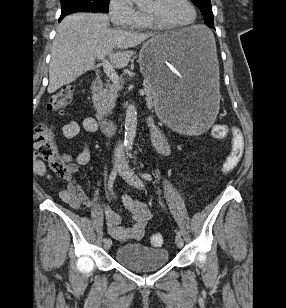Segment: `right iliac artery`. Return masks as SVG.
<instances>
[{
  "instance_id": "1",
  "label": "right iliac artery",
  "mask_w": 286,
  "mask_h": 308,
  "mask_svg": "<svg viewBox=\"0 0 286 308\" xmlns=\"http://www.w3.org/2000/svg\"><path fill=\"white\" fill-rule=\"evenodd\" d=\"M124 149H125V146L121 149V151L118 152L117 163L120 161V159H121V157L124 153ZM116 175H117V170L113 169V171L111 172V174L109 176V180H108V189L111 191L112 195H113L112 188H113V183H114V180L116 178ZM103 241L106 242L107 238H104Z\"/></svg>"
}]
</instances>
